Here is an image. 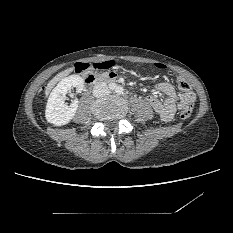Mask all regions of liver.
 <instances>
[{"label":"liver","mask_w":233,"mask_h":233,"mask_svg":"<svg viewBox=\"0 0 233 233\" xmlns=\"http://www.w3.org/2000/svg\"><path fill=\"white\" fill-rule=\"evenodd\" d=\"M73 71V68H68L62 72H60L56 77H54L47 85L46 87V94H49L51 89L54 87V85L59 81L62 77L67 76Z\"/></svg>","instance_id":"obj_1"}]
</instances>
